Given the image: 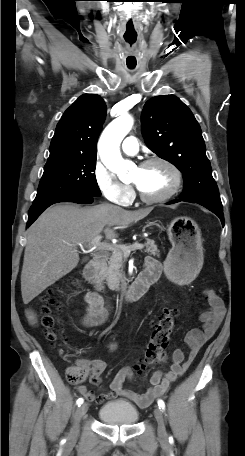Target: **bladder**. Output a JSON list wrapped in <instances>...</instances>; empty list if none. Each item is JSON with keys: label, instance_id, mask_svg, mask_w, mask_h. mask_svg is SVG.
Wrapping results in <instances>:
<instances>
[{"label": "bladder", "instance_id": "bladder-1", "mask_svg": "<svg viewBox=\"0 0 245 456\" xmlns=\"http://www.w3.org/2000/svg\"><path fill=\"white\" fill-rule=\"evenodd\" d=\"M98 415L105 424L117 426H131L139 419L138 410L124 400H113L104 404Z\"/></svg>", "mask_w": 245, "mask_h": 456}]
</instances>
